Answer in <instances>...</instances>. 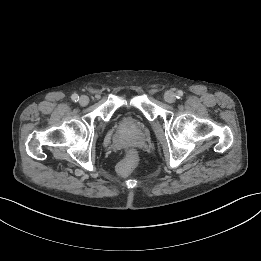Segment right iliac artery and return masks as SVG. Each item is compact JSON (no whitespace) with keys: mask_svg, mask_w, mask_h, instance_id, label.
<instances>
[{"mask_svg":"<svg viewBox=\"0 0 261 261\" xmlns=\"http://www.w3.org/2000/svg\"><path fill=\"white\" fill-rule=\"evenodd\" d=\"M71 98H72V100L75 101V102H77V101L79 100V96H78L77 94H73V95L71 96Z\"/></svg>","mask_w":261,"mask_h":261,"instance_id":"82829eb1","label":"right iliac artery"}]
</instances>
